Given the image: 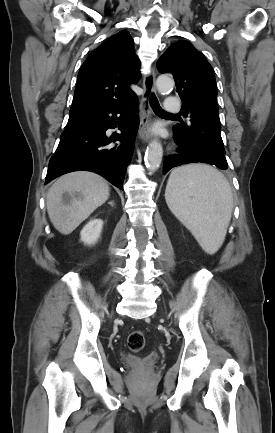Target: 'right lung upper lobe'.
Segmentation results:
<instances>
[{"label": "right lung upper lobe", "mask_w": 275, "mask_h": 433, "mask_svg": "<svg viewBox=\"0 0 275 433\" xmlns=\"http://www.w3.org/2000/svg\"><path fill=\"white\" fill-rule=\"evenodd\" d=\"M133 43L129 32L122 30L89 54L78 74L70 118L136 97L129 87L140 78Z\"/></svg>", "instance_id": "right-lung-upper-lobe-1"}]
</instances>
